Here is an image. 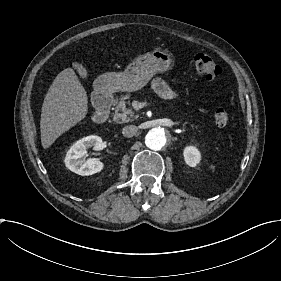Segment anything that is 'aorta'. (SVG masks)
<instances>
[{
    "instance_id": "obj_1",
    "label": "aorta",
    "mask_w": 281,
    "mask_h": 281,
    "mask_svg": "<svg viewBox=\"0 0 281 281\" xmlns=\"http://www.w3.org/2000/svg\"><path fill=\"white\" fill-rule=\"evenodd\" d=\"M167 143V134L164 128L158 127L149 130L145 137V144L151 150H160Z\"/></svg>"
}]
</instances>
